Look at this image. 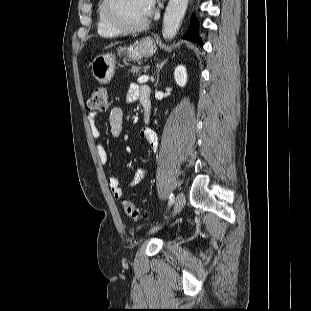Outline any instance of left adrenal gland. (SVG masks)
<instances>
[{
	"label": "left adrenal gland",
	"instance_id": "1",
	"mask_svg": "<svg viewBox=\"0 0 311 311\" xmlns=\"http://www.w3.org/2000/svg\"><path fill=\"white\" fill-rule=\"evenodd\" d=\"M167 62V59L164 60L163 62L161 63H157L156 64V68H157V80H156V83H155V87H157V84L159 82V72L160 70L163 68V66L165 65V63Z\"/></svg>",
	"mask_w": 311,
	"mask_h": 311
}]
</instances>
